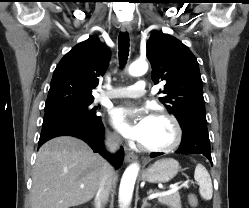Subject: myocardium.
I'll return each mask as SVG.
<instances>
[{
  "label": "myocardium",
  "mask_w": 249,
  "mask_h": 208,
  "mask_svg": "<svg viewBox=\"0 0 249 208\" xmlns=\"http://www.w3.org/2000/svg\"><path fill=\"white\" fill-rule=\"evenodd\" d=\"M154 117L157 118H163L166 119L167 121L170 122V124L173 127L174 130V139L171 143H169L166 146H162V147H149V146H145L143 144L139 145V148L147 153H166V152H170L172 150H174L176 147H178L182 141V136H183V131H182V127L178 121V119L173 116L172 114L166 112V111H162V110H158L153 114Z\"/></svg>",
  "instance_id": "myocardium-1"
}]
</instances>
